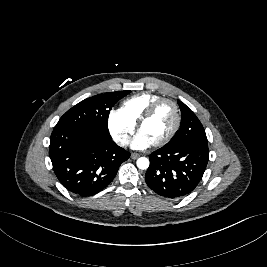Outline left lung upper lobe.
Wrapping results in <instances>:
<instances>
[{"label": "left lung upper lobe", "instance_id": "1", "mask_svg": "<svg viewBox=\"0 0 267 267\" xmlns=\"http://www.w3.org/2000/svg\"><path fill=\"white\" fill-rule=\"evenodd\" d=\"M181 125L176 136L165 146H176L184 143H201L208 145L205 130L197 116L181 101Z\"/></svg>", "mask_w": 267, "mask_h": 267}]
</instances>
